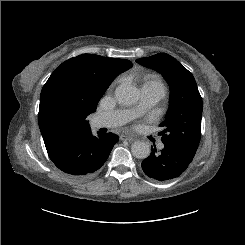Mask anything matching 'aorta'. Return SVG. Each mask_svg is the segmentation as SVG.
I'll return each mask as SVG.
<instances>
[{
    "mask_svg": "<svg viewBox=\"0 0 245 245\" xmlns=\"http://www.w3.org/2000/svg\"><path fill=\"white\" fill-rule=\"evenodd\" d=\"M115 96L120 104L132 105L138 101L139 91L132 85L121 84L116 88ZM131 152L135 158L145 159L150 155L151 148L145 141H136L131 146Z\"/></svg>",
    "mask_w": 245,
    "mask_h": 245,
    "instance_id": "1",
    "label": "aorta"
}]
</instances>
